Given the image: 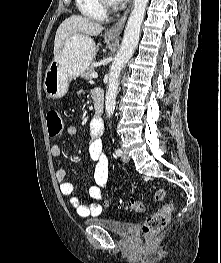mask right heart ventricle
<instances>
[{"instance_id": "right-heart-ventricle-1", "label": "right heart ventricle", "mask_w": 221, "mask_h": 263, "mask_svg": "<svg viewBox=\"0 0 221 263\" xmlns=\"http://www.w3.org/2000/svg\"><path fill=\"white\" fill-rule=\"evenodd\" d=\"M75 1L78 10L85 17L95 21L105 20L106 10L100 4L99 0H75Z\"/></svg>"}]
</instances>
